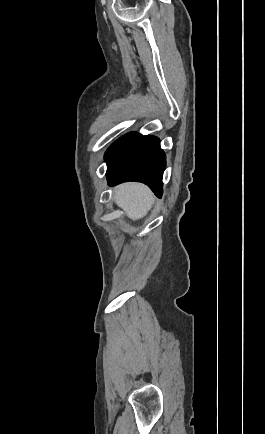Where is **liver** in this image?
<instances>
[{
	"label": "liver",
	"instance_id": "liver-1",
	"mask_svg": "<svg viewBox=\"0 0 265 434\" xmlns=\"http://www.w3.org/2000/svg\"><path fill=\"white\" fill-rule=\"evenodd\" d=\"M115 204L124 210L130 220H141L147 216L154 204V196L144 184H121L115 188Z\"/></svg>",
	"mask_w": 265,
	"mask_h": 434
}]
</instances>
